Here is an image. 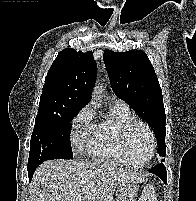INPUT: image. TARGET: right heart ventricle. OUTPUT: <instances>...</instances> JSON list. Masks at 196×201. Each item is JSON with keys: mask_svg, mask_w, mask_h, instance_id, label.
Wrapping results in <instances>:
<instances>
[{"mask_svg": "<svg viewBox=\"0 0 196 201\" xmlns=\"http://www.w3.org/2000/svg\"><path fill=\"white\" fill-rule=\"evenodd\" d=\"M134 116L128 107L113 105L107 117L94 124L93 135L88 145L89 155L102 162L129 165L121 145L123 127Z\"/></svg>", "mask_w": 196, "mask_h": 201, "instance_id": "e07e8e85", "label": "right heart ventricle"}]
</instances>
